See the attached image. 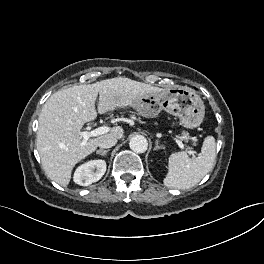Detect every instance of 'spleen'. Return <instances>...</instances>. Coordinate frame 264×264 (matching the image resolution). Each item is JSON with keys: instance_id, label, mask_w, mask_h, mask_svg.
I'll list each match as a JSON object with an SVG mask.
<instances>
[{"instance_id": "3e777b00", "label": "spleen", "mask_w": 264, "mask_h": 264, "mask_svg": "<svg viewBox=\"0 0 264 264\" xmlns=\"http://www.w3.org/2000/svg\"><path fill=\"white\" fill-rule=\"evenodd\" d=\"M216 143L213 136H207L201 154L189 158L184 152L173 153L169 157L168 173L164 185L175 189H188L199 183L214 167Z\"/></svg>"}]
</instances>
